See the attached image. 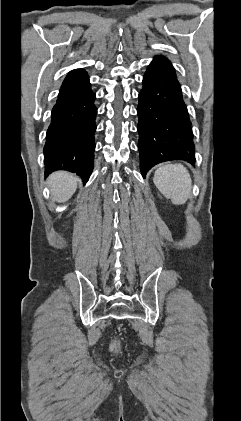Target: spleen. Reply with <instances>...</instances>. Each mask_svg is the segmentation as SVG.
Wrapping results in <instances>:
<instances>
[{"label":"spleen","mask_w":241,"mask_h":421,"mask_svg":"<svg viewBox=\"0 0 241 421\" xmlns=\"http://www.w3.org/2000/svg\"><path fill=\"white\" fill-rule=\"evenodd\" d=\"M154 184L173 204H185L191 196L192 180L188 170L180 164L160 166L154 173Z\"/></svg>","instance_id":"obj_1"}]
</instances>
